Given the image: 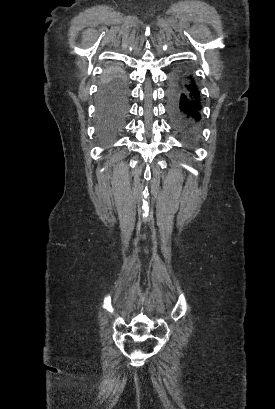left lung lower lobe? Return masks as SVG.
<instances>
[{
	"instance_id": "left-lung-lower-lobe-1",
	"label": "left lung lower lobe",
	"mask_w": 275,
	"mask_h": 409,
	"mask_svg": "<svg viewBox=\"0 0 275 409\" xmlns=\"http://www.w3.org/2000/svg\"><path fill=\"white\" fill-rule=\"evenodd\" d=\"M167 94L168 114L174 130L194 137L198 131L202 108L195 78L187 70H173Z\"/></svg>"
}]
</instances>
